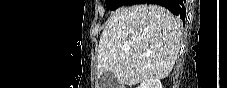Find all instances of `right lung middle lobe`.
Segmentation results:
<instances>
[{
    "label": "right lung middle lobe",
    "instance_id": "dd1d6c3e",
    "mask_svg": "<svg viewBox=\"0 0 227 88\" xmlns=\"http://www.w3.org/2000/svg\"><path fill=\"white\" fill-rule=\"evenodd\" d=\"M107 9L114 10L122 5L134 4L135 0H105Z\"/></svg>",
    "mask_w": 227,
    "mask_h": 88
}]
</instances>
